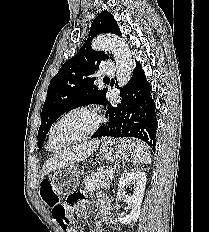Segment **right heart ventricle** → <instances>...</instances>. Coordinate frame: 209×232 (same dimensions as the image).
<instances>
[{
  "mask_svg": "<svg viewBox=\"0 0 209 232\" xmlns=\"http://www.w3.org/2000/svg\"><path fill=\"white\" fill-rule=\"evenodd\" d=\"M66 145V142H65V140H63V141H60V144H59V146L57 147V148H55V150L54 151H57V150H59V149H61L62 147H64Z\"/></svg>",
  "mask_w": 209,
  "mask_h": 232,
  "instance_id": "1",
  "label": "right heart ventricle"
}]
</instances>
